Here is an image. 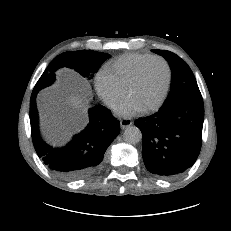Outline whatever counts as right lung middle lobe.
Listing matches in <instances>:
<instances>
[{
	"instance_id": "right-lung-middle-lobe-1",
	"label": "right lung middle lobe",
	"mask_w": 231,
	"mask_h": 231,
	"mask_svg": "<svg viewBox=\"0 0 231 231\" xmlns=\"http://www.w3.org/2000/svg\"><path fill=\"white\" fill-rule=\"evenodd\" d=\"M109 58L106 53L92 50L68 51L58 55L46 68L33 91L39 92L41 89L51 85L55 81L54 72L61 67L74 69L83 77H88L96 73L101 64Z\"/></svg>"
}]
</instances>
